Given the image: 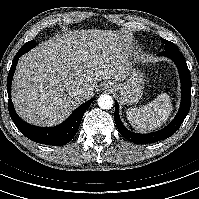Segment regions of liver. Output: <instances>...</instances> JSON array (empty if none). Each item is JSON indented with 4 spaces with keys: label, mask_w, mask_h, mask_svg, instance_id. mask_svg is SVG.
Masks as SVG:
<instances>
[{
    "label": "liver",
    "mask_w": 199,
    "mask_h": 199,
    "mask_svg": "<svg viewBox=\"0 0 199 199\" xmlns=\"http://www.w3.org/2000/svg\"><path fill=\"white\" fill-rule=\"evenodd\" d=\"M129 52L124 35L111 30H74L45 41L18 62L12 82L18 115L39 126L61 123L94 94L98 81L127 78ZM77 87L85 89L80 98Z\"/></svg>",
    "instance_id": "1"
}]
</instances>
